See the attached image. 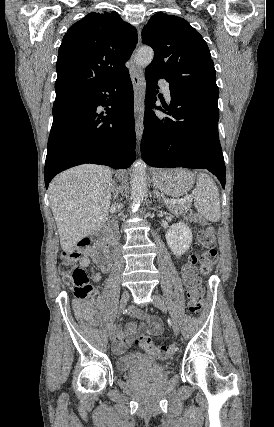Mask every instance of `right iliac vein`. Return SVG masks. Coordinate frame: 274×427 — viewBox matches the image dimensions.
Wrapping results in <instances>:
<instances>
[{"label":"right iliac vein","instance_id":"63e3f726","mask_svg":"<svg viewBox=\"0 0 274 427\" xmlns=\"http://www.w3.org/2000/svg\"><path fill=\"white\" fill-rule=\"evenodd\" d=\"M128 300H129V292L127 290H124L120 300V306H119L120 312L126 306ZM116 331H117V325L114 324L109 335V339L113 348H115V343H116V335H115Z\"/></svg>","mask_w":274,"mask_h":427}]
</instances>
